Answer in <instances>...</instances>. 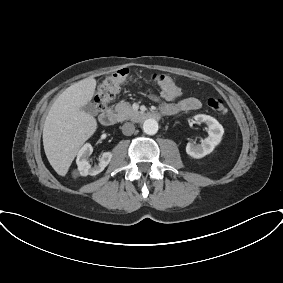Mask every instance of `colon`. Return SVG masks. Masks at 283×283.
<instances>
[{"label": "colon", "mask_w": 283, "mask_h": 283, "mask_svg": "<svg viewBox=\"0 0 283 283\" xmlns=\"http://www.w3.org/2000/svg\"><path fill=\"white\" fill-rule=\"evenodd\" d=\"M126 76L127 70L120 69L101 82L94 96V102L99 109H103L113 98L116 89L125 80ZM154 80L160 87L163 97L172 98L180 94V89L169 76L155 75ZM207 104L216 113L223 114L226 112L225 103L220 97H210Z\"/></svg>", "instance_id": "5ec220e1"}]
</instances>
